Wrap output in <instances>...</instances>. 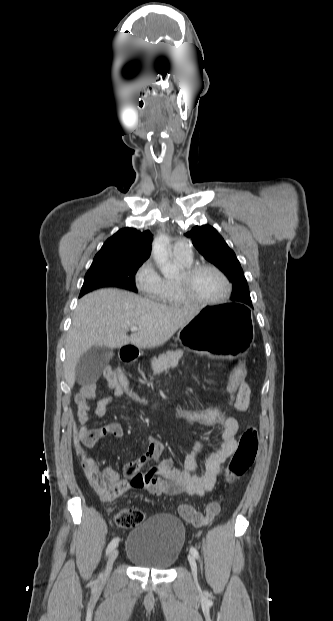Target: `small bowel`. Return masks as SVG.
I'll use <instances>...</instances> for the list:
<instances>
[{
    "label": "small bowel",
    "instance_id": "c3829d8e",
    "mask_svg": "<svg viewBox=\"0 0 333 621\" xmlns=\"http://www.w3.org/2000/svg\"><path fill=\"white\" fill-rule=\"evenodd\" d=\"M107 382L114 397L123 396L121 388L113 377L107 376ZM97 389L96 383H88L83 385L75 395L77 420L80 424L77 439L87 447L94 446L107 436L118 438L123 435L122 426L118 422H110L96 429L87 427L90 411L89 400L95 396ZM249 401L250 388L246 382H243L237 392L234 408L243 412L247 410ZM110 402V397L98 400L94 409L95 414L103 416ZM220 427L223 431L222 443L218 450L207 457L203 473L200 475L196 471L198 459L205 450L202 441L195 443L191 453L186 457L184 466L177 468L173 465L171 458L164 456L165 447L163 443L153 436L147 437L144 452L124 464V478H121L111 469H105L106 474L116 486V492L109 500L118 498L130 489L144 490L154 496L179 494L205 496L213 490L223 471L224 463L237 449V436L240 430L238 420L228 415ZM152 458L156 460V464L149 470L142 472V467Z\"/></svg>",
    "mask_w": 333,
    "mask_h": 621
}]
</instances>
